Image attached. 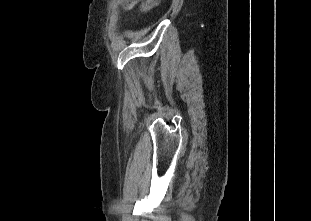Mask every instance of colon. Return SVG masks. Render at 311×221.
I'll return each mask as SVG.
<instances>
[{"mask_svg": "<svg viewBox=\"0 0 311 221\" xmlns=\"http://www.w3.org/2000/svg\"><path fill=\"white\" fill-rule=\"evenodd\" d=\"M161 0H143L141 11L147 13L156 7ZM121 8H136V1H121Z\"/></svg>", "mask_w": 311, "mask_h": 221, "instance_id": "5ec220e1", "label": "colon"}]
</instances>
